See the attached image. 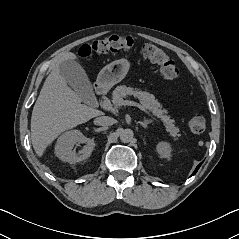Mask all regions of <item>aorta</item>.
Wrapping results in <instances>:
<instances>
[{
	"label": "aorta",
	"mask_w": 239,
	"mask_h": 239,
	"mask_svg": "<svg viewBox=\"0 0 239 239\" xmlns=\"http://www.w3.org/2000/svg\"><path fill=\"white\" fill-rule=\"evenodd\" d=\"M134 137V133L131 129L127 128V129H123L120 132V140L124 143H129L133 140Z\"/></svg>",
	"instance_id": "aorta-1"
}]
</instances>
